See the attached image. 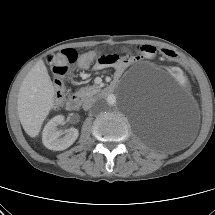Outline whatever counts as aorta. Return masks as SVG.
<instances>
[{
	"mask_svg": "<svg viewBox=\"0 0 215 215\" xmlns=\"http://www.w3.org/2000/svg\"><path fill=\"white\" fill-rule=\"evenodd\" d=\"M116 103V96L114 94H109L104 100L100 102L104 108H110Z\"/></svg>",
	"mask_w": 215,
	"mask_h": 215,
	"instance_id": "obj_1",
	"label": "aorta"
}]
</instances>
